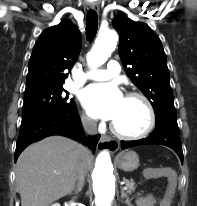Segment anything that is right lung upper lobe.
I'll return each instance as SVG.
<instances>
[{"label": "right lung upper lobe", "instance_id": "1", "mask_svg": "<svg viewBox=\"0 0 197 206\" xmlns=\"http://www.w3.org/2000/svg\"><path fill=\"white\" fill-rule=\"evenodd\" d=\"M81 50V37L74 25L64 20L44 30L33 47L29 60L26 89L63 85Z\"/></svg>", "mask_w": 197, "mask_h": 206}]
</instances>
